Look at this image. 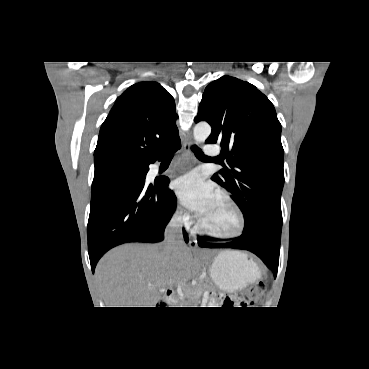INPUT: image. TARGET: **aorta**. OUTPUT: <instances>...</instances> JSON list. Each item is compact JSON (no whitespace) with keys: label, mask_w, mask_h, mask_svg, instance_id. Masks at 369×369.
<instances>
[{"label":"aorta","mask_w":369,"mask_h":369,"mask_svg":"<svg viewBox=\"0 0 369 369\" xmlns=\"http://www.w3.org/2000/svg\"><path fill=\"white\" fill-rule=\"evenodd\" d=\"M211 133V127L206 122L198 123L193 130V136L196 142H204Z\"/></svg>","instance_id":"obj_1"}]
</instances>
